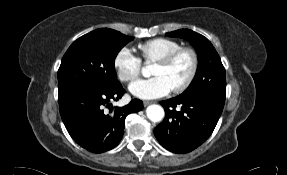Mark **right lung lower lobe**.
Returning <instances> with one entry per match:
<instances>
[{
	"instance_id": "right-lung-lower-lobe-1",
	"label": "right lung lower lobe",
	"mask_w": 287,
	"mask_h": 175,
	"mask_svg": "<svg viewBox=\"0 0 287 175\" xmlns=\"http://www.w3.org/2000/svg\"><path fill=\"white\" fill-rule=\"evenodd\" d=\"M124 92L122 85L111 90L77 85L59 91L60 115L77 144L93 153L106 152L118 145L126 116L143 108L141 100L133 99L107 113L105 106L120 99Z\"/></svg>"
}]
</instances>
